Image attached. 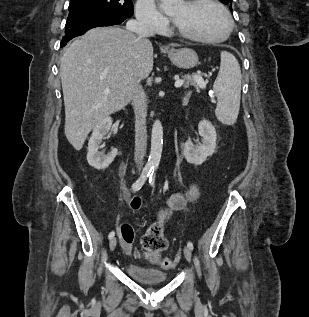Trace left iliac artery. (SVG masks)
<instances>
[{
    "label": "left iliac artery",
    "mask_w": 309,
    "mask_h": 317,
    "mask_svg": "<svg viewBox=\"0 0 309 317\" xmlns=\"http://www.w3.org/2000/svg\"><path fill=\"white\" fill-rule=\"evenodd\" d=\"M155 170L157 169V166L156 167H153ZM154 182H155V173L153 171V173L150 175V178H149V183L154 186ZM187 246L192 250L193 249V243L192 242H188L187 243Z\"/></svg>",
    "instance_id": "1"
}]
</instances>
